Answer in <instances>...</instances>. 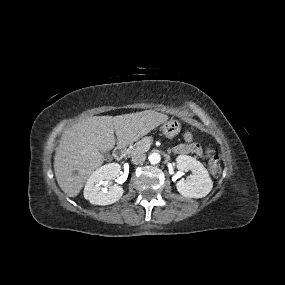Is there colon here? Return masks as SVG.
I'll use <instances>...</instances> for the list:
<instances>
[{
	"instance_id": "obj_1",
	"label": "colon",
	"mask_w": 285,
	"mask_h": 285,
	"mask_svg": "<svg viewBox=\"0 0 285 285\" xmlns=\"http://www.w3.org/2000/svg\"><path fill=\"white\" fill-rule=\"evenodd\" d=\"M182 137L186 143H191L194 140V135L189 130L184 131ZM214 147H215L214 142L209 141L206 145V153L209 158V166L211 173L214 176H219L221 174L220 158L216 153Z\"/></svg>"
}]
</instances>
